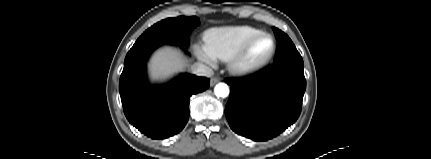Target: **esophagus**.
Listing matches in <instances>:
<instances>
[{"mask_svg": "<svg viewBox=\"0 0 431 159\" xmlns=\"http://www.w3.org/2000/svg\"><path fill=\"white\" fill-rule=\"evenodd\" d=\"M219 78L218 77H213L210 79V86H214L216 83L219 82Z\"/></svg>", "mask_w": 431, "mask_h": 159, "instance_id": "esophagus-1", "label": "esophagus"}]
</instances>
